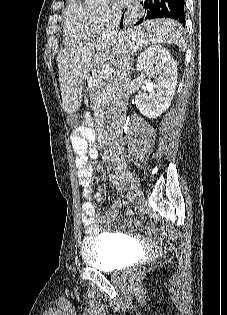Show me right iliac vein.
<instances>
[{"label":"right iliac vein","mask_w":227,"mask_h":315,"mask_svg":"<svg viewBox=\"0 0 227 315\" xmlns=\"http://www.w3.org/2000/svg\"><path fill=\"white\" fill-rule=\"evenodd\" d=\"M117 174L119 175L124 184L129 185L137 193L141 192V188L138 181L129 172L125 170H118Z\"/></svg>","instance_id":"obj_1"}]
</instances>
